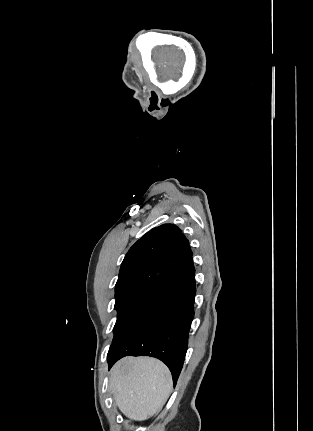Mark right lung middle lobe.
I'll return each instance as SVG.
<instances>
[{
  "instance_id": "dd1d6c3e",
  "label": "right lung middle lobe",
  "mask_w": 313,
  "mask_h": 431,
  "mask_svg": "<svg viewBox=\"0 0 313 431\" xmlns=\"http://www.w3.org/2000/svg\"><path fill=\"white\" fill-rule=\"evenodd\" d=\"M145 295H122L116 297L115 309L118 311L117 321L114 326V338L127 324L135 311L145 301Z\"/></svg>"
}]
</instances>
